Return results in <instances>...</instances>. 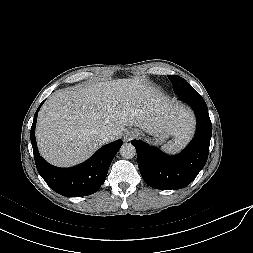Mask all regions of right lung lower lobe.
I'll return each instance as SVG.
<instances>
[{"label":"right lung lower lobe","instance_id":"right-lung-lower-lobe-1","mask_svg":"<svg viewBox=\"0 0 253 253\" xmlns=\"http://www.w3.org/2000/svg\"><path fill=\"white\" fill-rule=\"evenodd\" d=\"M44 102V101H43ZM43 102L38 107L30 131L35 164L44 181L57 193L69 197H81L95 193L104 183L110 164L122 145L117 140L100 148L84 163L72 168H57L47 163L37 149L35 126L37 114Z\"/></svg>","mask_w":253,"mask_h":253}]
</instances>
